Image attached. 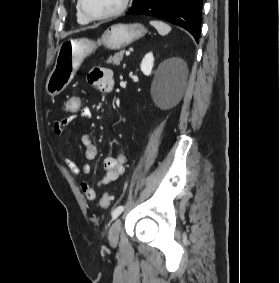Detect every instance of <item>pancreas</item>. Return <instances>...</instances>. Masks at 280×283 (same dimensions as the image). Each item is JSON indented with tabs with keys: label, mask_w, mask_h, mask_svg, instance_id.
I'll return each mask as SVG.
<instances>
[{
	"label": "pancreas",
	"mask_w": 280,
	"mask_h": 283,
	"mask_svg": "<svg viewBox=\"0 0 280 283\" xmlns=\"http://www.w3.org/2000/svg\"><path fill=\"white\" fill-rule=\"evenodd\" d=\"M123 55H124V51H120L118 53H115L113 56H110L106 63L107 64H113V65H119L122 58H123Z\"/></svg>",
	"instance_id": "cf45deb5"
}]
</instances>
